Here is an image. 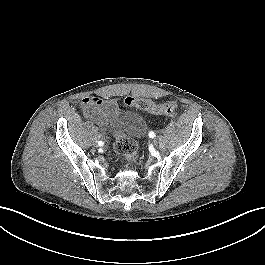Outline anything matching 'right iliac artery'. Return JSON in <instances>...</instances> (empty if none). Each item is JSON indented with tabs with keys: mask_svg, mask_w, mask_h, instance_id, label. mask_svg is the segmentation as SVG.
Segmentation results:
<instances>
[{
	"mask_svg": "<svg viewBox=\"0 0 265 265\" xmlns=\"http://www.w3.org/2000/svg\"><path fill=\"white\" fill-rule=\"evenodd\" d=\"M98 145H99V146H103V145H104V142L99 141V142H98Z\"/></svg>",
	"mask_w": 265,
	"mask_h": 265,
	"instance_id": "right-iliac-artery-1",
	"label": "right iliac artery"
}]
</instances>
